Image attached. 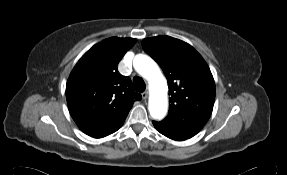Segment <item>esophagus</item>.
<instances>
[{"label":"esophagus","instance_id":"1","mask_svg":"<svg viewBox=\"0 0 287 175\" xmlns=\"http://www.w3.org/2000/svg\"><path fill=\"white\" fill-rule=\"evenodd\" d=\"M142 98H143L144 100H146V99L148 98V91H144V92L142 93Z\"/></svg>","mask_w":287,"mask_h":175}]
</instances>
